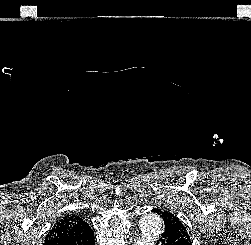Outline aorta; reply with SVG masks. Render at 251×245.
I'll list each match as a JSON object with an SVG mask.
<instances>
[{"label":"aorta","instance_id":"obj_1","mask_svg":"<svg viewBox=\"0 0 251 245\" xmlns=\"http://www.w3.org/2000/svg\"><path fill=\"white\" fill-rule=\"evenodd\" d=\"M141 236L135 245H155L162 229L163 222L155 214L144 215L139 222Z\"/></svg>","mask_w":251,"mask_h":245}]
</instances>
